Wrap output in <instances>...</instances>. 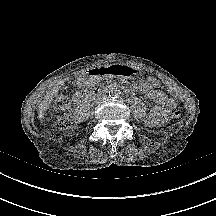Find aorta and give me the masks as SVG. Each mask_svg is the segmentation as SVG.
<instances>
[{
    "instance_id": "obj_1",
    "label": "aorta",
    "mask_w": 216,
    "mask_h": 216,
    "mask_svg": "<svg viewBox=\"0 0 216 216\" xmlns=\"http://www.w3.org/2000/svg\"><path fill=\"white\" fill-rule=\"evenodd\" d=\"M110 95L112 97H118L120 95V90L118 88H112L110 90Z\"/></svg>"
}]
</instances>
